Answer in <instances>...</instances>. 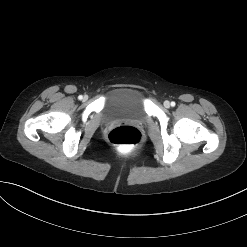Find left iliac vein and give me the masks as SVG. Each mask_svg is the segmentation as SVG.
<instances>
[{
	"label": "left iliac vein",
	"instance_id": "left-iliac-vein-1",
	"mask_svg": "<svg viewBox=\"0 0 247 247\" xmlns=\"http://www.w3.org/2000/svg\"><path fill=\"white\" fill-rule=\"evenodd\" d=\"M164 106L166 107V108H169L170 107V102L169 101H164Z\"/></svg>",
	"mask_w": 247,
	"mask_h": 247
}]
</instances>
